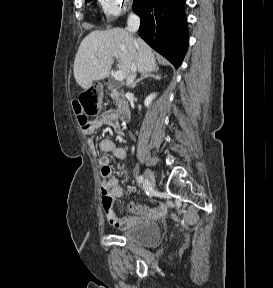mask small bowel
<instances>
[{
	"mask_svg": "<svg viewBox=\"0 0 273 288\" xmlns=\"http://www.w3.org/2000/svg\"><path fill=\"white\" fill-rule=\"evenodd\" d=\"M102 127H110L121 135L120 123L113 110H107L92 120L89 126L84 129V133L90 144L93 143L92 137L94 133ZM100 152L106 154L111 153L115 158L124 160L126 151L124 148L117 147L111 139H103L99 143ZM101 183L102 206L108 222L114 227L127 229L136 226L142 222L155 220L164 215L166 207L159 204L155 207H149L138 202H130L127 206L133 216H119L114 209V202L123 195V189L117 178L112 176L109 157L103 155L99 157Z\"/></svg>",
	"mask_w": 273,
	"mask_h": 288,
	"instance_id": "c3829d8e",
	"label": "small bowel"
}]
</instances>
